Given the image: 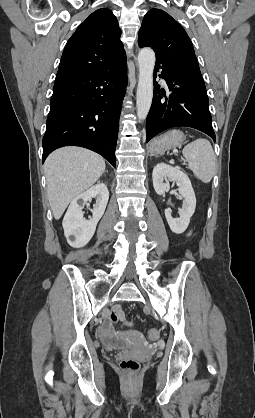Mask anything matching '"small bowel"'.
<instances>
[{
	"instance_id": "small-bowel-1",
	"label": "small bowel",
	"mask_w": 255,
	"mask_h": 418,
	"mask_svg": "<svg viewBox=\"0 0 255 418\" xmlns=\"http://www.w3.org/2000/svg\"><path fill=\"white\" fill-rule=\"evenodd\" d=\"M111 321H117V320H121V321H125V317L124 314L122 312V308L121 306H115L113 309V313L110 317ZM129 336H133L136 337L137 334L134 332H129L128 333ZM101 336L102 339L107 343V344H114L116 343V341L119 338V334L117 332H115L113 330V328L111 327L110 324H107L101 331Z\"/></svg>"
}]
</instances>
